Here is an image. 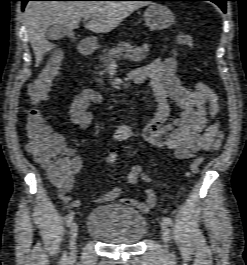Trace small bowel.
<instances>
[{"instance_id":"1","label":"small bowel","mask_w":247,"mask_h":265,"mask_svg":"<svg viewBox=\"0 0 247 265\" xmlns=\"http://www.w3.org/2000/svg\"><path fill=\"white\" fill-rule=\"evenodd\" d=\"M178 62L173 57L155 59L151 63L137 68L131 75L138 81L148 80L157 103L152 119L145 125L143 137L153 147L174 151L178 160L194 157L200 151H216L222 140L219 127L221 106L217 94L203 82L189 87L178 78ZM102 97L94 89L86 88L77 94L68 109V119L85 131L93 120L92 105L100 103ZM181 109V114L169 120L170 104ZM214 122L209 124V121ZM133 130L128 124L117 125L113 138L125 141L131 138ZM63 154L69 160L70 172L65 179H51L58 190L60 200L69 208H78L81 201L72 196L75 175L81 170L83 161L74 148L64 146ZM127 181L136 185L139 181L150 183L151 177L140 165L132 166L127 173ZM119 200L125 205L136 207L147 213L156 204L157 197L152 189L145 191V200L122 197V189L114 187L94 199L95 203L107 204Z\"/></svg>"}]
</instances>
